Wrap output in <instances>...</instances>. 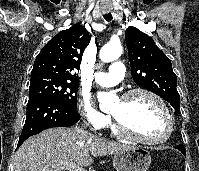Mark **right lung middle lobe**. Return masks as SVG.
<instances>
[{
	"label": "right lung middle lobe",
	"instance_id": "dd1d6c3e",
	"mask_svg": "<svg viewBox=\"0 0 199 171\" xmlns=\"http://www.w3.org/2000/svg\"><path fill=\"white\" fill-rule=\"evenodd\" d=\"M79 83L51 76L31 77L29 97L46 94L57 98L67 106L77 108V92Z\"/></svg>",
	"mask_w": 199,
	"mask_h": 171
}]
</instances>
